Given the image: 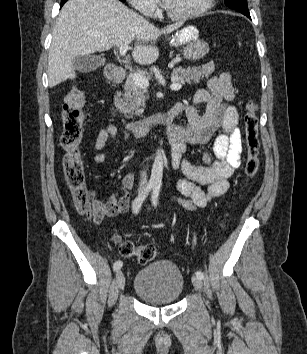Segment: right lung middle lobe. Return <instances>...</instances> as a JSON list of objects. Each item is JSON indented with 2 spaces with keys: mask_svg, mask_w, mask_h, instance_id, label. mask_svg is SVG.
I'll list each match as a JSON object with an SVG mask.
<instances>
[{
  "mask_svg": "<svg viewBox=\"0 0 307 354\" xmlns=\"http://www.w3.org/2000/svg\"><path fill=\"white\" fill-rule=\"evenodd\" d=\"M120 1L124 2V1H126V0H120Z\"/></svg>",
  "mask_w": 307,
  "mask_h": 354,
  "instance_id": "1",
  "label": "right lung middle lobe"
}]
</instances>
